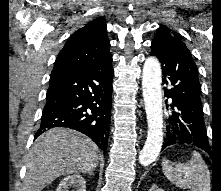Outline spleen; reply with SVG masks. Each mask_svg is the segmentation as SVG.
I'll return each instance as SVG.
<instances>
[{
	"label": "spleen",
	"instance_id": "1",
	"mask_svg": "<svg viewBox=\"0 0 221 191\" xmlns=\"http://www.w3.org/2000/svg\"><path fill=\"white\" fill-rule=\"evenodd\" d=\"M162 170L165 177L178 188L189 187L191 191L211 190L208 166L197 152H193L191 159L187 162L174 163L164 158Z\"/></svg>",
	"mask_w": 221,
	"mask_h": 191
}]
</instances>
